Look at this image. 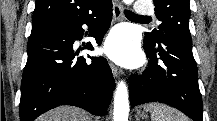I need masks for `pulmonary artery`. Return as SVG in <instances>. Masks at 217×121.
<instances>
[{
  "instance_id": "obj_1",
  "label": "pulmonary artery",
  "mask_w": 217,
  "mask_h": 121,
  "mask_svg": "<svg viewBox=\"0 0 217 121\" xmlns=\"http://www.w3.org/2000/svg\"><path fill=\"white\" fill-rule=\"evenodd\" d=\"M137 15L143 16V17H150L153 15V8L150 5H137L136 8Z\"/></svg>"
}]
</instances>
